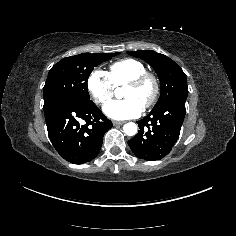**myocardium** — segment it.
<instances>
[{
  "instance_id": "1",
  "label": "myocardium",
  "mask_w": 236,
  "mask_h": 236,
  "mask_svg": "<svg viewBox=\"0 0 236 236\" xmlns=\"http://www.w3.org/2000/svg\"><path fill=\"white\" fill-rule=\"evenodd\" d=\"M144 83H149L150 88H151L149 97L147 101L145 102V104L143 105V107L146 109L152 106L157 100L159 90H160L157 77L153 73L145 71L131 78L125 84V87H138Z\"/></svg>"
}]
</instances>
